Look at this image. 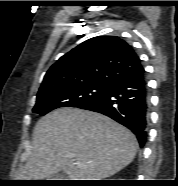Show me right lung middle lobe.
Wrapping results in <instances>:
<instances>
[{
  "label": "right lung middle lobe",
  "instance_id": "1",
  "mask_svg": "<svg viewBox=\"0 0 178 186\" xmlns=\"http://www.w3.org/2000/svg\"><path fill=\"white\" fill-rule=\"evenodd\" d=\"M109 84L90 83L38 92L33 112L45 115L60 107H79L103 93Z\"/></svg>",
  "mask_w": 178,
  "mask_h": 186
}]
</instances>
